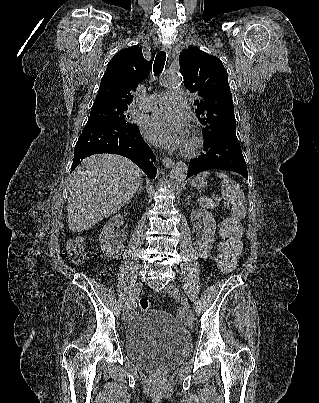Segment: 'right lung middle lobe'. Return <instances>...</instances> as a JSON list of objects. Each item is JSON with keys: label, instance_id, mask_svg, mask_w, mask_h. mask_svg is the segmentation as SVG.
Listing matches in <instances>:
<instances>
[{"label": "right lung middle lobe", "instance_id": "dd1d6c3e", "mask_svg": "<svg viewBox=\"0 0 319 403\" xmlns=\"http://www.w3.org/2000/svg\"><path fill=\"white\" fill-rule=\"evenodd\" d=\"M127 109L128 105L94 103L87 123L109 122L131 126L133 124L128 122L129 116L124 114Z\"/></svg>", "mask_w": 319, "mask_h": 403}]
</instances>
